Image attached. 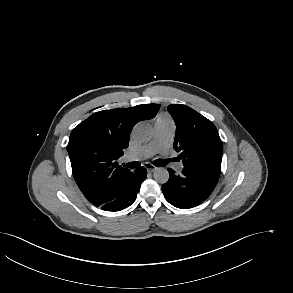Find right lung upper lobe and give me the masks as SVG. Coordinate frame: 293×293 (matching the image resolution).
Masks as SVG:
<instances>
[{
  "mask_svg": "<svg viewBox=\"0 0 293 293\" xmlns=\"http://www.w3.org/2000/svg\"><path fill=\"white\" fill-rule=\"evenodd\" d=\"M159 108V104H145L103 110L73 129L67 145L73 176L92 204L101 206L114 200L131 178L132 172L116 160L128 147L133 126L155 117Z\"/></svg>",
  "mask_w": 293,
  "mask_h": 293,
  "instance_id": "1",
  "label": "right lung upper lobe"
}]
</instances>
